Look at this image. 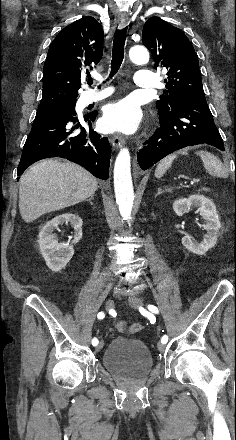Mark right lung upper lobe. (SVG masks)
Returning a JSON list of instances; mask_svg holds the SVG:
<instances>
[{"instance_id": "cb5924a9", "label": "right lung upper lobe", "mask_w": 236, "mask_h": 440, "mask_svg": "<svg viewBox=\"0 0 236 440\" xmlns=\"http://www.w3.org/2000/svg\"><path fill=\"white\" fill-rule=\"evenodd\" d=\"M104 33L86 16L62 29L51 43L43 68L39 107L76 102L81 77L102 58Z\"/></svg>"}]
</instances>
